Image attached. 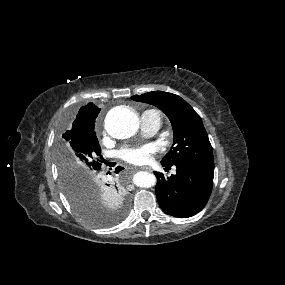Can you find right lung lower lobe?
Here are the masks:
<instances>
[{
    "label": "right lung lower lobe",
    "instance_id": "98d812e1",
    "mask_svg": "<svg viewBox=\"0 0 285 285\" xmlns=\"http://www.w3.org/2000/svg\"><path fill=\"white\" fill-rule=\"evenodd\" d=\"M121 170H122V168H121L120 166H118V167H116L115 172L118 173V172H120Z\"/></svg>",
    "mask_w": 285,
    "mask_h": 285
}]
</instances>
